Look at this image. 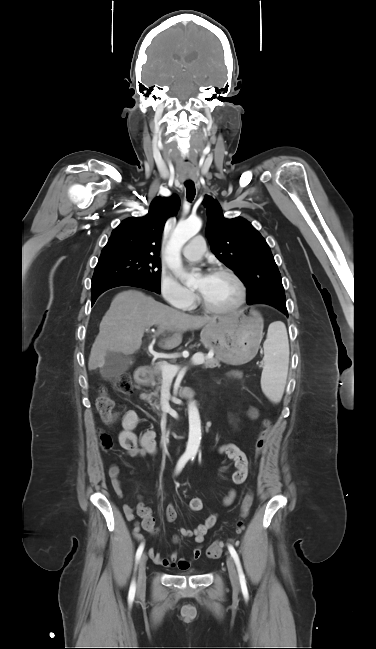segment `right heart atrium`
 Returning <instances> with one entry per match:
<instances>
[{
  "instance_id": "d8ad5b80",
  "label": "right heart atrium",
  "mask_w": 376,
  "mask_h": 649,
  "mask_svg": "<svg viewBox=\"0 0 376 649\" xmlns=\"http://www.w3.org/2000/svg\"><path fill=\"white\" fill-rule=\"evenodd\" d=\"M159 292L171 306L179 309L190 308L195 301L192 290L183 286L171 272L162 270L159 277Z\"/></svg>"
}]
</instances>
